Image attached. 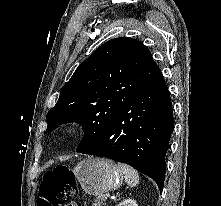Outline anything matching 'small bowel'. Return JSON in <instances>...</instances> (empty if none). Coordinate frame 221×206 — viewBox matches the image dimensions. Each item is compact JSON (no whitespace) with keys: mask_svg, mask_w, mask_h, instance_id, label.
Segmentation results:
<instances>
[{"mask_svg":"<svg viewBox=\"0 0 221 206\" xmlns=\"http://www.w3.org/2000/svg\"><path fill=\"white\" fill-rule=\"evenodd\" d=\"M66 206H78L76 203H68V204H66Z\"/></svg>","mask_w":221,"mask_h":206,"instance_id":"obj_1","label":"small bowel"}]
</instances>
